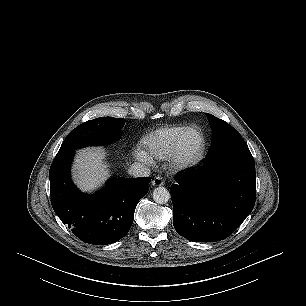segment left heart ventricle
<instances>
[{
    "label": "left heart ventricle",
    "instance_id": "1",
    "mask_svg": "<svg viewBox=\"0 0 306 306\" xmlns=\"http://www.w3.org/2000/svg\"><path fill=\"white\" fill-rule=\"evenodd\" d=\"M199 143H200L199 133L196 131H192L186 137L185 147L188 150H195L199 146Z\"/></svg>",
    "mask_w": 306,
    "mask_h": 306
}]
</instances>
